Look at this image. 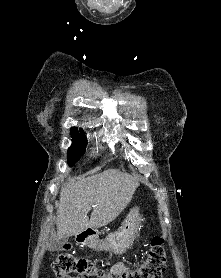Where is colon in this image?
Masks as SVG:
<instances>
[{"label": "colon", "instance_id": "colon-1", "mask_svg": "<svg viewBox=\"0 0 221 278\" xmlns=\"http://www.w3.org/2000/svg\"><path fill=\"white\" fill-rule=\"evenodd\" d=\"M166 269V251L163 240H151L145 259L133 269L120 275V278H161ZM53 270L60 278H112V275L87 259L68 253L59 254L53 262Z\"/></svg>", "mask_w": 221, "mask_h": 278}]
</instances>
